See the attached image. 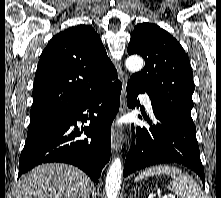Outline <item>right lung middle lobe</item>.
Wrapping results in <instances>:
<instances>
[{
    "mask_svg": "<svg viewBox=\"0 0 221 198\" xmlns=\"http://www.w3.org/2000/svg\"><path fill=\"white\" fill-rule=\"evenodd\" d=\"M37 123H38V122H37ZM35 124H36V123H30L29 127H30V126H33V125H35Z\"/></svg>",
    "mask_w": 221,
    "mask_h": 198,
    "instance_id": "obj_1",
    "label": "right lung middle lobe"
}]
</instances>
